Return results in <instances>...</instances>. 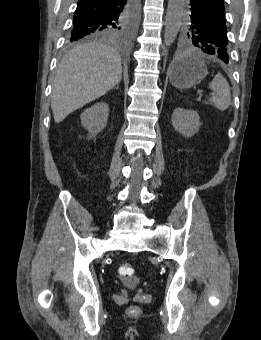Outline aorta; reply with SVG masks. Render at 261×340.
Listing matches in <instances>:
<instances>
[{"mask_svg":"<svg viewBox=\"0 0 261 340\" xmlns=\"http://www.w3.org/2000/svg\"><path fill=\"white\" fill-rule=\"evenodd\" d=\"M185 0H168L167 13L165 18L164 47L170 46L181 26Z\"/></svg>","mask_w":261,"mask_h":340,"instance_id":"762f6f07","label":"aorta"}]
</instances>
